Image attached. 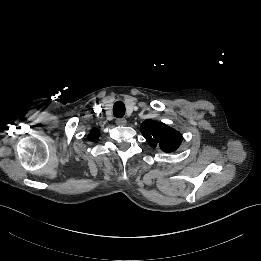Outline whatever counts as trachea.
<instances>
[{
	"mask_svg": "<svg viewBox=\"0 0 261 261\" xmlns=\"http://www.w3.org/2000/svg\"><path fill=\"white\" fill-rule=\"evenodd\" d=\"M125 105L121 101H117L113 106V114L117 118H122L125 114Z\"/></svg>",
	"mask_w": 261,
	"mask_h": 261,
	"instance_id": "1",
	"label": "trachea"
}]
</instances>
